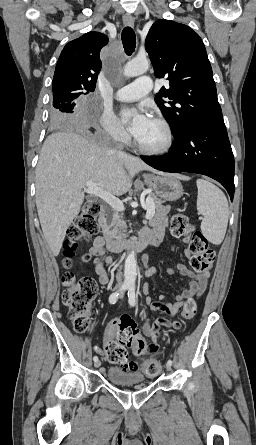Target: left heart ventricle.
I'll return each instance as SVG.
<instances>
[{"label": "left heart ventricle", "instance_id": "obj_1", "mask_svg": "<svg viewBox=\"0 0 256 445\" xmlns=\"http://www.w3.org/2000/svg\"><path fill=\"white\" fill-rule=\"evenodd\" d=\"M143 146L148 148H156L161 146L165 141V133L163 128L154 120H151L144 131L135 137Z\"/></svg>", "mask_w": 256, "mask_h": 445}]
</instances>
